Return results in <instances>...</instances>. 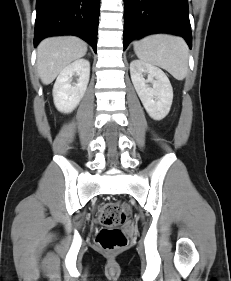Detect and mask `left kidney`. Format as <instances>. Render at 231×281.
<instances>
[{
    "mask_svg": "<svg viewBox=\"0 0 231 281\" xmlns=\"http://www.w3.org/2000/svg\"><path fill=\"white\" fill-rule=\"evenodd\" d=\"M130 75L149 116L154 120L165 118L173 100V89L166 74L152 64L134 60L130 63ZM145 75L147 79L144 78Z\"/></svg>",
    "mask_w": 231,
    "mask_h": 281,
    "instance_id": "obj_1",
    "label": "left kidney"
}]
</instances>
